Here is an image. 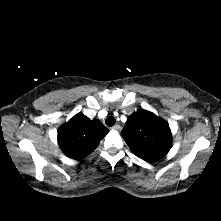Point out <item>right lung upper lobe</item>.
I'll use <instances>...</instances> for the list:
<instances>
[{
	"label": "right lung upper lobe",
	"mask_w": 221,
	"mask_h": 221,
	"mask_svg": "<svg viewBox=\"0 0 221 221\" xmlns=\"http://www.w3.org/2000/svg\"><path fill=\"white\" fill-rule=\"evenodd\" d=\"M108 132L98 119L78 113L59 128L58 143L68 157L80 160L92 153Z\"/></svg>",
	"instance_id": "1"
}]
</instances>
